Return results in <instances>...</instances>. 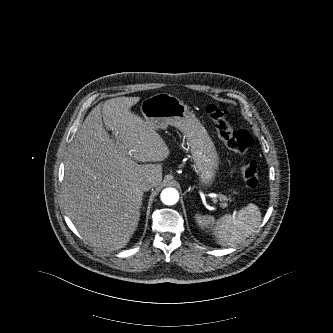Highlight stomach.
Segmentation results:
<instances>
[{
	"mask_svg": "<svg viewBox=\"0 0 333 333\" xmlns=\"http://www.w3.org/2000/svg\"><path fill=\"white\" fill-rule=\"evenodd\" d=\"M140 110L146 121L156 128L168 125L179 129L191 152L199 183L211 187L219 167V155L205 128L182 100L169 93H157L145 98Z\"/></svg>",
	"mask_w": 333,
	"mask_h": 333,
	"instance_id": "obj_1",
	"label": "stomach"
}]
</instances>
